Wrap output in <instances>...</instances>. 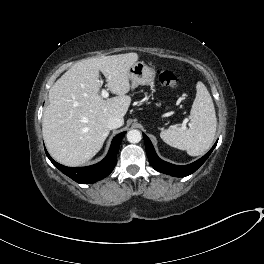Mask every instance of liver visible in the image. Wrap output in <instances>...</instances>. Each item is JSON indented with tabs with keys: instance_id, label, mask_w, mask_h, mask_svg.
Here are the masks:
<instances>
[{
	"instance_id": "6515ba94",
	"label": "liver",
	"mask_w": 264,
	"mask_h": 264,
	"mask_svg": "<svg viewBox=\"0 0 264 264\" xmlns=\"http://www.w3.org/2000/svg\"><path fill=\"white\" fill-rule=\"evenodd\" d=\"M137 53L88 58L75 63L49 90L43 113V138L49 154L66 166H80L92 159L109 135L108 120L123 118L131 103L129 69ZM106 78L107 89L117 95L99 94Z\"/></svg>"
}]
</instances>
